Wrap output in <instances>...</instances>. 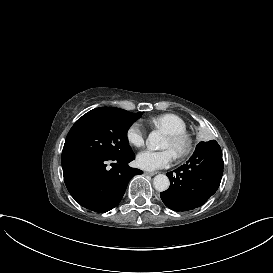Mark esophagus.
Returning <instances> with one entry per match:
<instances>
[{"mask_svg": "<svg viewBox=\"0 0 273 273\" xmlns=\"http://www.w3.org/2000/svg\"><path fill=\"white\" fill-rule=\"evenodd\" d=\"M156 174L157 172H147V171L144 172V175H148V176H154Z\"/></svg>", "mask_w": 273, "mask_h": 273, "instance_id": "obj_1", "label": "esophagus"}]
</instances>
